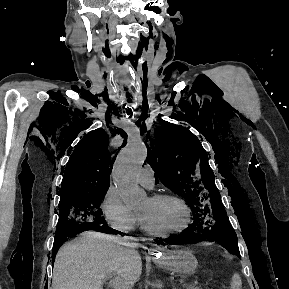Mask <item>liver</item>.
Here are the masks:
<instances>
[{"instance_id":"6515ba94","label":"liver","mask_w":289,"mask_h":289,"mask_svg":"<svg viewBox=\"0 0 289 289\" xmlns=\"http://www.w3.org/2000/svg\"><path fill=\"white\" fill-rule=\"evenodd\" d=\"M142 272L139 254L120 246L112 236L88 231L74 244L63 245L55 259L52 289H103V281L116 274L130 289Z\"/></svg>"}]
</instances>
